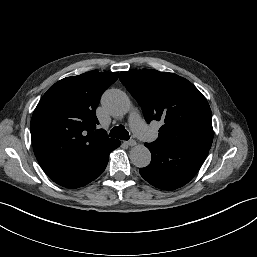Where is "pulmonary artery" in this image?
I'll return each instance as SVG.
<instances>
[{
  "mask_svg": "<svg viewBox=\"0 0 257 257\" xmlns=\"http://www.w3.org/2000/svg\"><path fill=\"white\" fill-rule=\"evenodd\" d=\"M129 124H130L132 130L136 134H141L142 132H147L148 131V129H147L145 123L143 122L140 114L136 110H134L130 113Z\"/></svg>",
  "mask_w": 257,
  "mask_h": 257,
  "instance_id": "pulmonary-artery-1",
  "label": "pulmonary artery"
}]
</instances>
